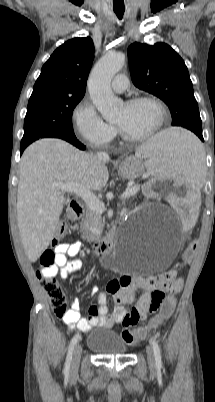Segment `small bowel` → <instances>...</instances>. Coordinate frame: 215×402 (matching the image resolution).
I'll return each mask as SVG.
<instances>
[{
    "mask_svg": "<svg viewBox=\"0 0 215 402\" xmlns=\"http://www.w3.org/2000/svg\"><path fill=\"white\" fill-rule=\"evenodd\" d=\"M83 250V245L79 241L72 243L64 242L55 247V264L50 268H43L41 273L44 276L54 277L59 275L66 279L70 274L78 271L82 267V262L75 258ZM70 257L71 259H68ZM182 286V279L176 275L171 279H165L162 276L141 277V276H122L111 280L105 291L98 294V306L89 308V317L82 318L80 315V303L74 299L71 308L62 317L64 323L70 329H77L82 332L89 331L92 327H111L120 323L123 326L135 325L140 319H143L150 311L153 294L158 292L177 293ZM142 291L135 306L126 309L125 305H131L135 301L136 293ZM98 292L96 286H93L91 293ZM112 297L115 308L112 314L108 313V299ZM134 311L138 313L135 319Z\"/></svg>",
    "mask_w": 215,
    "mask_h": 402,
    "instance_id": "c3829d8e",
    "label": "small bowel"
}]
</instances>
